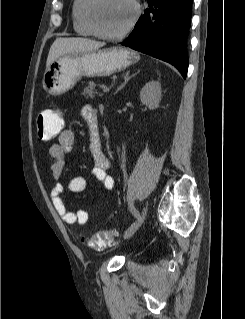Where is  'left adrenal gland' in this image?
Returning a JSON list of instances; mask_svg holds the SVG:
<instances>
[{"label":"left adrenal gland","mask_w":245,"mask_h":319,"mask_svg":"<svg viewBox=\"0 0 245 319\" xmlns=\"http://www.w3.org/2000/svg\"><path fill=\"white\" fill-rule=\"evenodd\" d=\"M138 73V72H137ZM137 73L130 75V71L126 72L123 77H124V82L117 88L116 92L120 91L125 85L126 83L129 81V79H131L132 77H134Z\"/></svg>","instance_id":"a2214340"}]
</instances>
